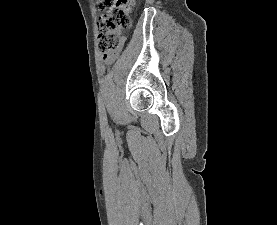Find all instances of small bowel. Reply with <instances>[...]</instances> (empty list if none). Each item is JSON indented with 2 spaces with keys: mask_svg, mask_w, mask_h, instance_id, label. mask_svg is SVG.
<instances>
[{
  "mask_svg": "<svg viewBox=\"0 0 277 225\" xmlns=\"http://www.w3.org/2000/svg\"><path fill=\"white\" fill-rule=\"evenodd\" d=\"M115 58H116V54H111V55H105V56H103V60H104L106 63H111V62H113Z\"/></svg>",
  "mask_w": 277,
  "mask_h": 225,
  "instance_id": "small-bowel-1",
  "label": "small bowel"
}]
</instances>
